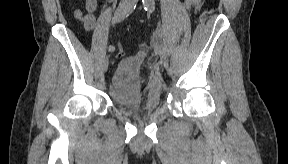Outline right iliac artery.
I'll return each instance as SVG.
<instances>
[{"label":"right iliac artery","instance_id":"82829eb1","mask_svg":"<svg viewBox=\"0 0 288 164\" xmlns=\"http://www.w3.org/2000/svg\"><path fill=\"white\" fill-rule=\"evenodd\" d=\"M127 17V12L125 11V9L123 8H118L115 16H114V20L116 23H120L121 21H123L125 18ZM108 51L111 52V54L115 51V47L113 45H110L108 47Z\"/></svg>","mask_w":288,"mask_h":164}]
</instances>
